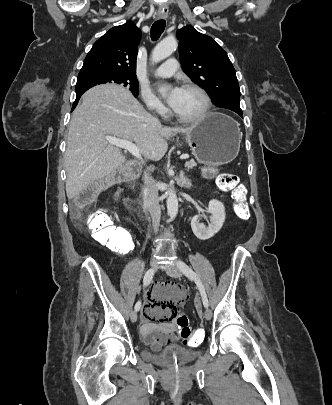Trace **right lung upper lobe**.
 Instances as JSON below:
<instances>
[{"label":"right lung upper lobe","mask_w":332,"mask_h":405,"mask_svg":"<svg viewBox=\"0 0 332 405\" xmlns=\"http://www.w3.org/2000/svg\"><path fill=\"white\" fill-rule=\"evenodd\" d=\"M141 32L129 21L111 28L87 54L80 73L105 70L136 76V57Z\"/></svg>","instance_id":"cb5924a9"}]
</instances>
